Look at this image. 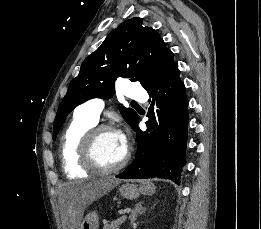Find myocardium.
<instances>
[{
  "mask_svg": "<svg viewBox=\"0 0 261 229\" xmlns=\"http://www.w3.org/2000/svg\"><path fill=\"white\" fill-rule=\"evenodd\" d=\"M106 132H117L109 125H100L93 127L83 138L81 145V159L84 165L91 171L98 174H111L124 168L129 161V151L126 149L123 159L114 166L107 167L102 165L96 156V146L100 136Z\"/></svg>",
  "mask_w": 261,
  "mask_h": 229,
  "instance_id": "myocardium-1",
  "label": "myocardium"
}]
</instances>
